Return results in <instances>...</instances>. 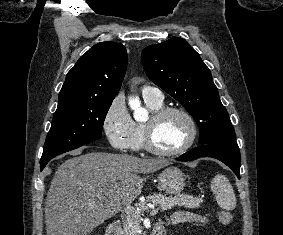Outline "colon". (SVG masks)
<instances>
[{"mask_svg":"<svg viewBox=\"0 0 283 235\" xmlns=\"http://www.w3.org/2000/svg\"><path fill=\"white\" fill-rule=\"evenodd\" d=\"M219 222L223 225H228L232 222L233 216L227 210H220L217 214Z\"/></svg>","mask_w":283,"mask_h":235,"instance_id":"obj_1","label":"colon"}]
</instances>
